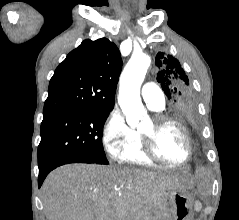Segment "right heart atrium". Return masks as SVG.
I'll return each instance as SVG.
<instances>
[{
	"instance_id": "obj_1",
	"label": "right heart atrium",
	"mask_w": 239,
	"mask_h": 220,
	"mask_svg": "<svg viewBox=\"0 0 239 220\" xmlns=\"http://www.w3.org/2000/svg\"><path fill=\"white\" fill-rule=\"evenodd\" d=\"M137 139V132L127 124L122 111L117 107L113 108L102 129V141L110 157L121 159L124 151L135 144Z\"/></svg>"
}]
</instances>
